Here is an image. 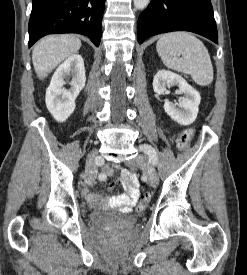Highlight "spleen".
<instances>
[{"mask_svg":"<svg viewBox=\"0 0 247 275\" xmlns=\"http://www.w3.org/2000/svg\"><path fill=\"white\" fill-rule=\"evenodd\" d=\"M156 49L166 67L191 75L198 85L207 86L213 81V66L208 50L191 33H166L158 40Z\"/></svg>","mask_w":247,"mask_h":275,"instance_id":"3e777b00","label":"spleen"}]
</instances>
